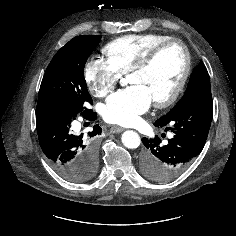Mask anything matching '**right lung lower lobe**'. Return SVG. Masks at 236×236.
<instances>
[{
  "mask_svg": "<svg viewBox=\"0 0 236 236\" xmlns=\"http://www.w3.org/2000/svg\"><path fill=\"white\" fill-rule=\"evenodd\" d=\"M78 115L89 121L96 119L91 109L74 112L62 106L39 104L36 107V125L40 146L54 169L66 180L78 179L84 165L97 158V136L102 129L95 125L87 135L76 134L72 122Z\"/></svg>",
  "mask_w": 236,
  "mask_h": 236,
  "instance_id": "98d812e1",
  "label": "right lung lower lobe"
}]
</instances>
